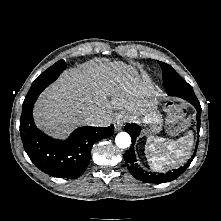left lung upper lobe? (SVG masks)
<instances>
[{"label":"left lung upper lobe","mask_w":221,"mask_h":221,"mask_svg":"<svg viewBox=\"0 0 221 221\" xmlns=\"http://www.w3.org/2000/svg\"><path fill=\"white\" fill-rule=\"evenodd\" d=\"M162 69V76L165 87L174 84L176 81L182 79L180 75L168 64L159 62Z\"/></svg>","instance_id":"5c2ea615"}]
</instances>
